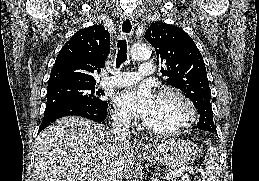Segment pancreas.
<instances>
[{"instance_id": "pancreas-1", "label": "pancreas", "mask_w": 259, "mask_h": 181, "mask_svg": "<svg viewBox=\"0 0 259 181\" xmlns=\"http://www.w3.org/2000/svg\"><path fill=\"white\" fill-rule=\"evenodd\" d=\"M179 181H190V178L188 175H185Z\"/></svg>"}]
</instances>
